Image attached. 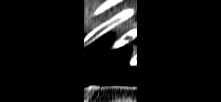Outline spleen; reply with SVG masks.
Wrapping results in <instances>:
<instances>
[{
  "mask_svg": "<svg viewBox=\"0 0 221 102\" xmlns=\"http://www.w3.org/2000/svg\"><path fill=\"white\" fill-rule=\"evenodd\" d=\"M118 102H121V100H120V99H118ZM122 102H124V101L122 100Z\"/></svg>",
  "mask_w": 221,
  "mask_h": 102,
  "instance_id": "3e777b00",
  "label": "spleen"
}]
</instances>
